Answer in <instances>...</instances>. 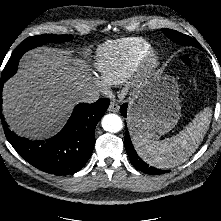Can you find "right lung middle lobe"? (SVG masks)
Segmentation results:
<instances>
[{"label": "right lung middle lobe", "instance_id": "right-lung-middle-lobe-1", "mask_svg": "<svg viewBox=\"0 0 221 221\" xmlns=\"http://www.w3.org/2000/svg\"><path fill=\"white\" fill-rule=\"evenodd\" d=\"M72 39V36L69 35H53V34H44L39 36H32L25 39L20 45L15 49L8 63L6 64L1 81L5 82L11 76H13L17 71L18 60L21 56L29 49L35 48L39 45H43L47 42H66Z\"/></svg>", "mask_w": 221, "mask_h": 221}]
</instances>
